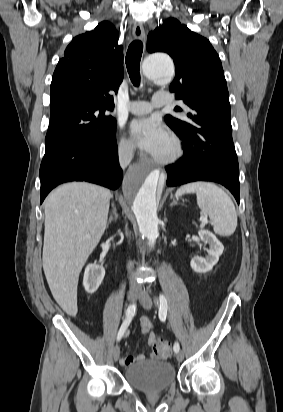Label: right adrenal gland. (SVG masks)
Segmentation results:
<instances>
[{
    "mask_svg": "<svg viewBox=\"0 0 283 412\" xmlns=\"http://www.w3.org/2000/svg\"><path fill=\"white\" fill-rule=\"evenodd\" d=\"M112 214L109 217L108 223H107V227L112 223V221H116L118 219V214H117V210L114 206V204H112Z\"/></svg>",
    "mask_w": 283,
    "mask_h": 412,
    "instance_id": "right-adrenal-gland-1",
    "label": "right adrenal gland"
}]
</instances>
